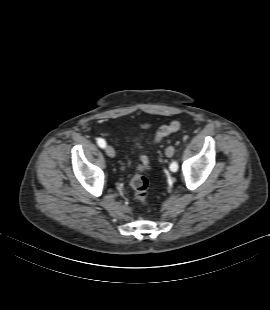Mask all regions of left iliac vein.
Instances as JSON below:
<instances>
[{"mask_svg": "<svg viewBox=\"0 0 270 310\" xmlns=\"http://www.w3.org/2000/svg\"><path fill=\"white\" fill-rule=\"evenodd\" d=\"M174 151H175L174 147H173V146H169V147L166 149V156H167V157H172L173 154H174Z\"/></svg>", "mask_w": 270, "mask_h": 310, "instance_id": "4c4485c4", "label": "left iliac vein"}]
</instances>
